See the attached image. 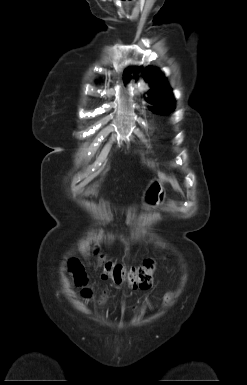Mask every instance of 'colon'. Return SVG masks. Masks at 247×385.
I'll return each mask as SVG.
<instances>
[{
    "mask_svg": "<svg viewBox=\"0 0 247 385\" xmlns=\"http://www.w3.org/2000/svg\"><path fill=\"white\" fill-rule=\"evenodd\" d=\"M94 253L104 279H108L117 285L127 284L132 289H147L151 286L153 272L156 267V262L152 257L145 258L139 266L127 267L106 259L97 250ZM70 270L75 284L84 286L86 284V275L82 266L74 261L71 263ZM88 294L89 291L84 290V295L87 296Z\"/></svg>",
    "mask_w": 247,
    "mask_h": 385,
    "instance_id": "colon-1",
    "label": "colon"
}]
</instances>
